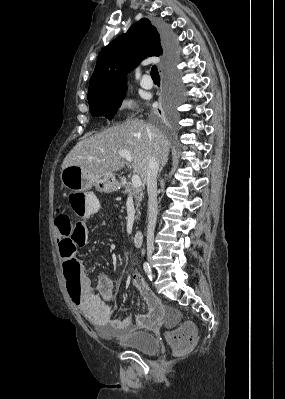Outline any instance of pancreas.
<instances>
[{
  "label": "pancreas",
  "instance_id": "1",
  "mask_svg": "<svg viewBox=\"0 0 285 399\" xmlns=\"http://www.w3.org/2000/svg\"><path fill=\"white\" fill-rule=\"evenodd\" d=\"M124 194H127L129 196L134 197V201H135V206H136V212H137V216L136 219H139L138 215L140 214V205L141 202L144 199V191L141 187H134L131 183L127 182L124 185V190H123Z\"/></svg>",
  "mask_w": 285,
  "mask_h": 399
}]
</instances>
